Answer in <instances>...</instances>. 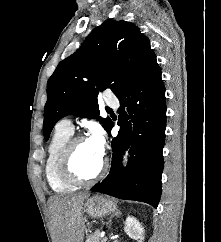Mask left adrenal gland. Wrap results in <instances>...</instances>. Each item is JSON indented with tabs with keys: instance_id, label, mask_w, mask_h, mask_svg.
I'll use <instances>...</instances> for the list:
<instances>
[{
	"instance_id": "1",
	"label": "left adrenal gland",
	"mask_w": 221,
	"mask_h": 242,
	"mask_svg": "<svg viewBox=\"0 0 221 242\" xmlns=\"http://www.w3.org/2000/svg\"><path fill=\"white\" fill-rule=\"evenodd\" d=\"M121 215V212L120 211H116L111 217H119ZM110 223V221L108 222V224Z\"/></svg>"
}]
</instances>
